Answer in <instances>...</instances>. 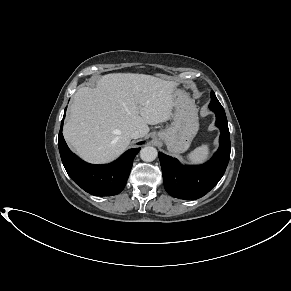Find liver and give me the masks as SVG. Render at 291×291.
Returning <instances> with one entry per match:
<instances>
[{
  "label": "liver",
  "mask_w": 291,
  "mask_h": 291,
  "mask_svg": "<svg viewBox=\"0 0 291 291\" xmlns=\"http://www.w3.org/2000/svg\"><path fill=\"white\" fill-rule=\"evenodd\" d=\"M176 86L144 74L104 75L96 88L82 87L74 94L64 138L84 160L109 162L129 146L132 131L145 136L148 124L170 118Z\"/></svg>",
  "instance_id": "obj_1"
}]
</instances>
